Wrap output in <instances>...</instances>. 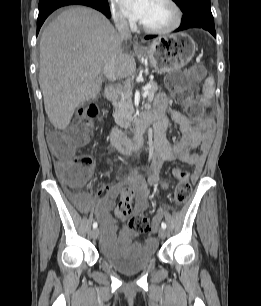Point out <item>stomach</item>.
<instances>
[{"mask_svg":"<svg viewBox=\"0 0 261 306\" xmlns=\"http://www.w3.org/2000/svg\"><path fill=\"white\" fill-rule=\"evenodd\" d=\"M197 47L186 33H176L154 39L138 53L147 58L151 66L160 74L177 71L187 65Z\"/></svg>","mask_w":261,"mask_h":306,"instance_id":"obj_1","label":"stomach"}]
</instances>
